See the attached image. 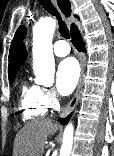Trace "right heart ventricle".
<instances>
[{
    "mask_svg": "<svg viewBox=\"0 0 114 156\" xmlns=\"http://www.w3.org/2000/svg\"><path fill=\"white\" fill-rule=\"evenodd\" d=\"M19 103L25 121L43 117L48 109L42 98V88L28 81L21 84Z\"/></svg>",
    "mask_w": 114,
    "mask_h": 156,
    "instance_id": "e07e8e85",
    "label": "right heart ventricle"
}]
</instances>
